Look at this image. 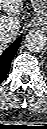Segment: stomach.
Returning <instances> with one entry per match:
<instances>
[{"label": "stomach", "mask_w": 47, "mask_h": 129, "mask_svg": "<svg viewBox=\"0 0 47 129\" xmlns=\"http://www.w3.org/2000/svg\"><path fill=\"white\" fill-rule=\"evenodd\" d=\"M34 9V18L30 26L47 30V0H30Z\"/></svg>", "instance_id": "obj_1"}]
</instances>
